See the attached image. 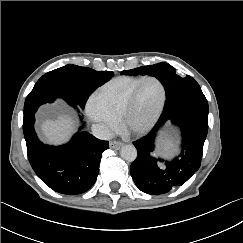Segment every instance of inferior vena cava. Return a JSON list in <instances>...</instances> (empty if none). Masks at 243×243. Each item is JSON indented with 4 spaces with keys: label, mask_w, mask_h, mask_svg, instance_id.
I'll list each match as a JSON object with an SVG mask.
<instances>
[{
    "label": "inferior vena cava",
    "mask_w": 243,
    "mask_h": 243,
    "mask_svg": "<svg viewBox=\"0 0 243 243\" xmlns=\"http://www.w3.org/2000/svg\"><path fill=\"white\" fill-rule=\"evenodd\" d=\"M91 131L96 138L101 140H109L113 136L109 128L103 124H93Z\"/></svg>",
    "instance_id": "1"
}]
</instances>
